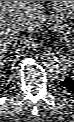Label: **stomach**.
Here are the masks:
<instances>
[{
    "label": "stomach",
    "instance_id": "0dacf381",
    "mask_svg": "<svg viewBox=\"0 0 74 122\" xmlns=\"http://www.w3.org/2000/svg\"><path fill=\"white\" fill-rule=\"evenodd\" d=\"M56 19L71 18L74 14V1H52Z\"/></svg>",
    "mask_w": 74,
    "mask_h": 122
}]
</instances>
